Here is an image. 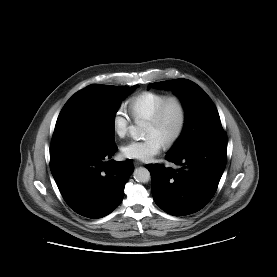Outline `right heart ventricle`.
<instances>
[{
	"instance_id": "e07e8e85",
	"label": "right heart ventricle",
	"mask_w": 277,
	"mask_h": 277,
	"mask_svg": "<svg viewBox=\"0 0 277 277\" xmlns=\"http://www.w3.org/2000/svg\"><path fill=\"white\" fill-rule=\"evenodd\" d=\"M167 97V94L156 91L141 92L129 99V112L135 120H148Z\"/></svg>"
}]
</instances>
